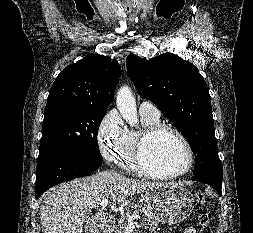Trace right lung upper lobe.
I'll return each mask as SVG.
<instances>
[{
  "label": "right lung upper lobe",
  "instance_id": "1",
  "mask_svg": "<svg viewBox=\"0 0 253 233\" xmlns=\"http://www.w3.org/2000/svg\"><path fill=\"white\" fill-rule=\"evenodd\" d=\"M121 76L115 59L93 54L67 66L55 79L47 105H85L107 109Z\"/></svg>",
  "mask_w": 253,
  "mask_h": 233
}]
</instances>
